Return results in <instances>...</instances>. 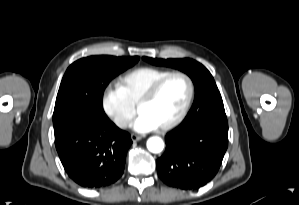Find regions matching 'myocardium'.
Instances as JSON below:
<instances>
[{
  "label": "myocardium",
  "instance_id": "obj_1",
  "mask_svg": "<svg viewBox=\"0 0 299 205\" xmlns=\"http://www.w3.org/2000/svg\"><path fill=\"white\" fill-rule=\"evenodd\" d=\"M173 77H181L183 78L188 85V96L187 99L185 101V104L183 106V108L181 109V111L179 112V114L172 119L171 121L167 122L166 124L158 127V130L160 131H168L176 126H178L187 116L193 100H194V96H195V85L194 82L192 80V78L185 72L182 71H173V72H169L166 75L162 76L161 78H159L158 80H156L144 93L143 95L140 97L137 105V110L140 111V108L146 104H148L149 102H151L153 100V98L157 95V93L159 92V90L161 89V87L170 79Z\"/></svg>",
  "mask_w": 299,
  "mask_h": 205
}]
</instances>
